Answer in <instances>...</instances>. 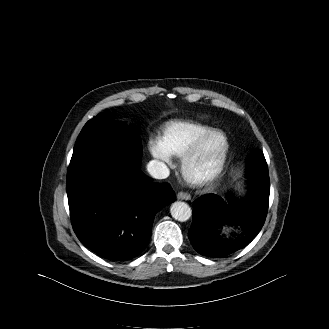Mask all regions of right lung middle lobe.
I'll use <instances>...</instances> for the list:
<instances>
[{"label":"right lung middle lobe","instance_id":"right-lung-middle-lobe-1","mask_svg":"<svg viewBox=\"0 0 329 329\" xmlns=\"http://www.w3.org/2000/svg\"><path fill=\"white\" fill-rule=\"evenodd\" d=\"M104 154L139 162L142 154L139 130L113 121L106 114H98L80 132L68 171Z\"/></svg>","mask_w":329,"mask_h":329}]
</instances>
